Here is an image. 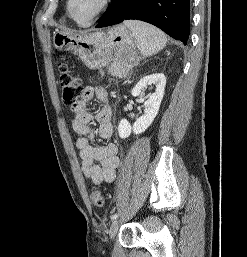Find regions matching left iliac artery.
Here are the masks:
<instances>
[{
	"label": "left iliac artery",
	"mask_w": 247,
	"mask_h": 257,
	"mask_svg": "<svg viewBox=\"0 0 247 257\" xmlns=\"http://www.w3.org/2000/svg\"><path fill=\"white\" fill-rule=\"evenodd\" d=\"M117 217H118V214L116 213V214H114V215L111 216V219H112V220H115Z\"/></svg>",
	"instance_id": "1"
}]
</instances>
